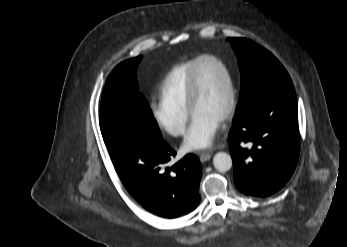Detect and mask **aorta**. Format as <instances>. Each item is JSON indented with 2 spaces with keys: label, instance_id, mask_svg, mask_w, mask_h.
<instances>
[{
  "label": "aorta",
  "instance_id": "obj_1",
  "mask_svg": "<svg viewBox=\"0 0 347 247\" xmlns=\"http://www.w3.org/2000/svg\"><path fill=\"white\" fill-rule=\"evenodd\" d=\"M214 167L220 172H226L231 169L233 162L228 153L218 152L213 158Z\"/></svg>",
  "mask_w": 347,
  "mask_h": 247
}]
</instances>
